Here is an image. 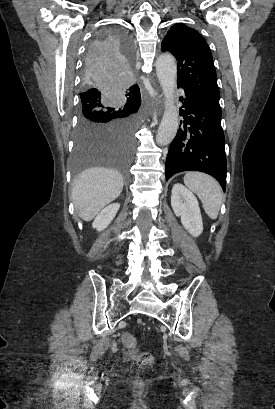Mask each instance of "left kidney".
<instances>
[{
	"label": "left kidney",
	"instance_id": "obj_1",
	"mask_svg": "<svg viewBox=\"0 0 275 409\" xmlns=\"http://www.w3.org/2000/svg\"><path fill=\"white\" fill-rule=\"evenodd\" d=\"M171 205L176 217L192 237H199L203 231L202 217L198 200L186 186L176 182L172 188Z\"/></svg>",
	"mask_w": 275,
	"mask_h": 409
}]
</instances>
